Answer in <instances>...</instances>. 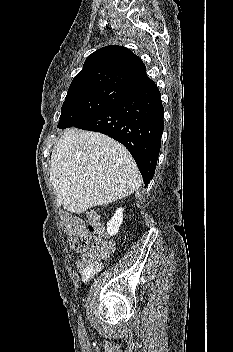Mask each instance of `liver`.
<instances>
[{
    "instance_id": "6515ba94",
    "label": "liver",
    "mask_w": 233,
    "mask_h": 352,
    "mask_svg": "<svg viewBox=\"0 0 233 352\" xmlns=\"http://www.w3.org/2000/svg\"><path fill=\"white\" fill-rule=\"evenodd\" d=\"M50 181L58 206L80 214L122 199L141 185L129 151L97 132L64 131L51 155Z\"/></svg>"
}]
</instances>
